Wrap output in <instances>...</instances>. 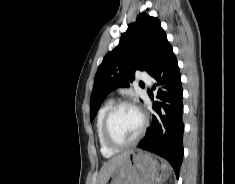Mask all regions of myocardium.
<instances>
[{
    "label": "myocardium",
    "mask_w": 235,
    "mask_h": 184,
    "mask_svg": "<svg viewBox=\"0 0 235 184\" xmlns=\"http://www.w3.org/2000/svg\"><path fill=\"white\" fill-rule=\"evenodd\" d=\"M122 107H132L136 109L140 113L141 118H142V123H141V127H140L138 134L132 140L127 141V142H121V141L116 140L112 135V129H111V122H112L113 115L118 109ZM148 122L149 120H148L147 114L135 103L130 102V101L117 102L108 109L106 116L104 118V122H103L104 142L110 149L115 150V151L133 146L137 144L143 137L147 129Z\"/></svg>",
    "instance_id": "obj_1"
}]
</instances>
